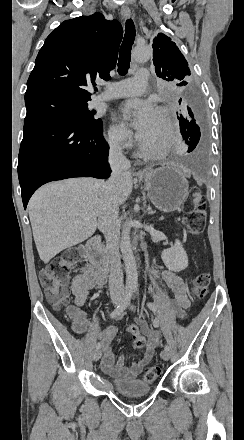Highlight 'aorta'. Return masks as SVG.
I'll return each instance as SVG.
<instances>
[{"mask_svg":"<svg viewBox=\"0 0 244 440\" xmlns=\"http://www.w3.org/2000/svg\"><path fill=\"white\" fill-rule=\"evenodd\" d=\"M151 54V50L145 47H137L133 51V57L138 62L147 61ZM120 249L125 265L126 284L128 286H136L138 284V273L135 257L131 247L130 226L128 224H125L122 229Z\"/></svg>","mask_w":244,"mask_h":440,"instance_id":"762f6f07","label":"aorta"}]
</instances>
